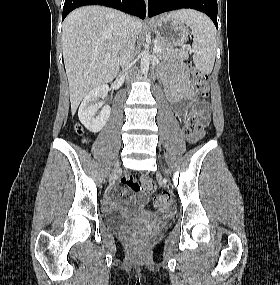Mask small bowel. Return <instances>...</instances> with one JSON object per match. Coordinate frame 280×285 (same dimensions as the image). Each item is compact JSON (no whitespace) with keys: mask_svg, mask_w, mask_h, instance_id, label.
Returning a JSON list of instances; mask_svg holds the SVG:
<instances>
[{"mask_svg":"<svg viewBox=\"0 0 280 285\" xmlns=\"http://www.w3.org/2000/svg\"><path fill=\"white\" fill-rule=\"evenodd\" d=\"M162 82L166 90L169 101L175 106L177 116L184 115L191 107L195 99V94L190 88L187 71L183 66H176L171 72L162 76ZM204 120L209 118V107L204 105L200 111ZM146 197L139 196L128 199V203L139 202L146 203ZM111 204L112 201L108 200Z\"/></svg>","mask_w":280,"mask_h":285,"instance_id":"small-bowel-1","label":"small bowel"}]
</instances>
